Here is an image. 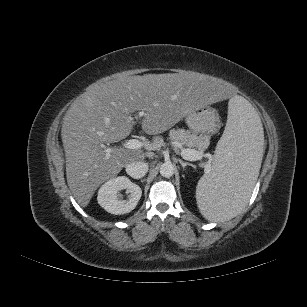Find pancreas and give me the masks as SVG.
Segmentation results:
<instances>
[{
	"label": "pancreas",
	"mask_w": 307,
	"mask_h": 307,
	"mask_svg": "<svg viewBox=\"0 0 307 307\" xmlns=\"http://www.w3.org/2000/svg\"><path fill=\"white\" fill-rule=\"evenodd\" d=\"M160 141V139H158ZM169 140L178 142L189 149L203 151L208 145L206 136L197 135L185 129H172L169 131Z\"/></svg>",
	"instance_id": "pancreas-1"
}]
</instances>
